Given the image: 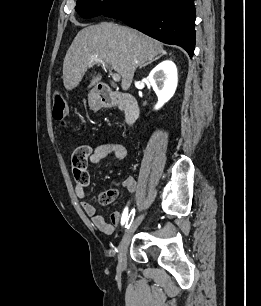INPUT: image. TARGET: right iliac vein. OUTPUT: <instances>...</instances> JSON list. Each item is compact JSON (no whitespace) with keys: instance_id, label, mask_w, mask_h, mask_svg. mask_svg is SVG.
<instances>
[{"instance_id":"1","label":"right iliac vein","mask_w":261,"mask_h":306,"mask_svg":"<svg viewBox=\"0 0 261 306\" xmlns=\"http://www.w3.org/2000/svg\"><path fill=\"white\" fill-rule=\"evenodd\" d=\"M144 215L138 216L130 225L129 228H126L119 245V254H118V266L120 269H125L127 266V249L131 240L133 233L136 231L140 223L142 222Z\"/></svg>"}]
</instances>
